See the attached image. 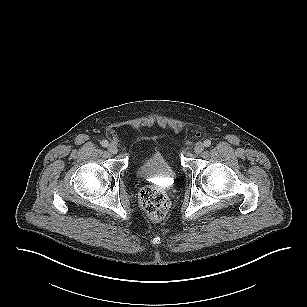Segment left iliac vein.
I'll return each mask as SVG.
<instances>
[{
    "mask_svg": "<svg viewBox=\"0 0 307 307\" xmlns=\"http://www.w3.org/2000/svg\"><path fill=\"white\" fill-rule=\"evenodd\" d=\"M203 150H204V144L201 143V142L196 143V145L194 147V152L196 154H200Z\"/></svg>",
    "mask_w": 307,
    "mask_h": 307,
    "instance_id": "left-iliac-vein-1",
    "label": "left iliac vein"
}]
</instances>
